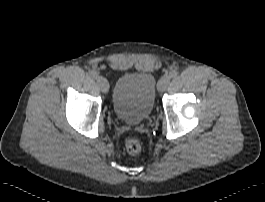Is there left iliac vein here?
<instances>
[{
	"label": "left iliac vein",
	"mask_w": 265,
	"mask_h": 202,
	"mask_svg": "<svg viewBox=\"0 0 265 202\" xmlns=\"http://www.w3.org/2000/svg\"><path fill=\"white\" fill-rule=\"evenodd\" d=\"M170 80V75H164L158 82V91L164 92L169 87Z\"/></svg>",
	"instance_id": "left-iliac-vein-1"
}]
</instances>
